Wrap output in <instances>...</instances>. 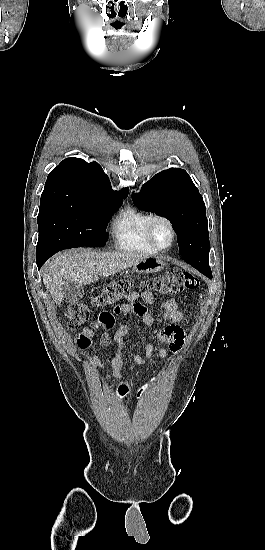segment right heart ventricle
I'll return each instance as SVG.
<instances>
[{"label":"right heart ventricle","mask_w":265,"mask_h":550,"mask_svg":"<svg viewBox=\"0 0 265 550\" xmlns=\"http://www.w3.org/2000/svg\"><path fill=\"white\" fill-rule=\"evenodd\" d=\"M152 215L137 208L120 213L112 224L115 245L124 251L154 254L157 250L146 237V224Z\"/></svg>","instance_id":"right-heart-ventricle-1"}]
</instances>
